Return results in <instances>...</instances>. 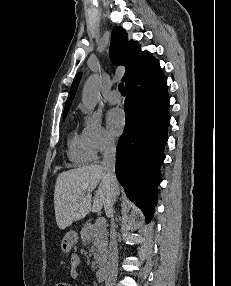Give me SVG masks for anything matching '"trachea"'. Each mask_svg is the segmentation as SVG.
<instances>
[{
  "label": "trachea",
  "mask_w": 231,
  "mask_h": 286,
  "mask_svg": "<svg viewBox=\"0 0 231 286\" xmlns=\"http://www.w3.org/2000/svg\"><path fill=\"white\" fill-rule=\"evenodd\" d=\"M118 89H119V91H120V93L122 94V95H124L125 94V87H124V83H119V85H118Z\"/></svg>",
  "instance_id": "trachea-1"
}]
</instances>
